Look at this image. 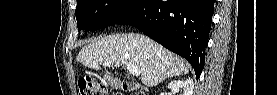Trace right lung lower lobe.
Here are the masks:
<instances>
[{
    "mask_svg": "<svg viewBox=\"0 0 277 95\" xmlns=\"http://www.w3.org/2000/svg\"><path fill=\"white\" fill-rule=\"evenodd\" d=\"M215 0H140L117 24L135 26L190 62L196 78L204 68Z\"/></svg>",
    "mask_w": 277,
    "mask_h": 95,
    "instance_id": "obj_1",
    "label": "right lung lower lobe"
}]
</instances>
